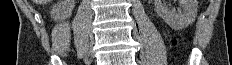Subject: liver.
Listing matches in <instances>:
<instances>
[{
	"instance_id": "6515ba94",
	"label": "liver",
	"mask_w": 232,
	"mask_h": 65,
	"mask_svg": "<svg viewBox=\"0 0 232 65\" xmlns=\"http://www.w3.org/2000/svg\"><path fill=\"white\" fill-rule=\"evenodd\" d=\"M36 4H46L50 2L51 0H33Z\"/></svg>"
}]
</instances>
